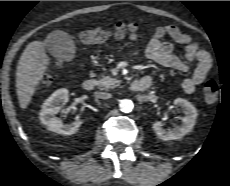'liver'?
Here are the masks:
<instances>
[{"label": "liver", "mask_w": 230, "mask_h": 186, "mask_svg": "<svg viewBox=\"0 0 230 186\" xmlns=\"http://www.w3.org/2000/svg\"><path fill=\"white\" fill-rule=\"evenodd\" d=\"M46 42L33 41L23 51L16 70V91L19 105L26 109L32 100L36 87L50 65L44 45Z\"/></svg>", "instance_id": "1"}]
</instances>
